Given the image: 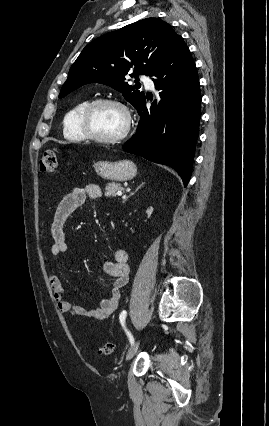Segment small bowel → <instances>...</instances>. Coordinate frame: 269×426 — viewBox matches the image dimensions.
I'll return each mask as SVG.
<instances>
[{
    "label": "small bowel",
    "mask_w": 269,
    "mask_h": 426,
    "mask_svg": "<svg viewBox=\"0 0 269 426\" xmlns=\"http://www.w3.org/2000/svg\"><path fill=\"white\" fill-rule=\"evenodd\" d=\"M102 196L100 186L88 184L82 188H75L59 203L51 225L53 244L50 248V274L49 282L59 311L64 315L82 317L90 320H104L115 312L119 306L121 289L127 284L129 278L128 253L126 250L117 249L113 258L103 264L104 274L113 280L112 294L102 300L98 307L87 308L67 300V290L55 271L54 258L68 250L65 226L72 214L85 202L86 199H98Z\"/></svg>",
    "instance_id": "1"
}]
</instances>
